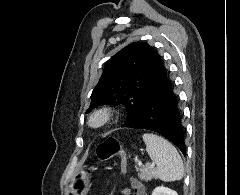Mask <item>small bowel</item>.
I'll return each instance as SVG.
<instances>
[{"label":"small bowel","instance_id":"small-bowel-1","mask_svg":"<svg viewBox=\"0 0 240 195\" xmlns=\"http://www.w3.org/2000/svg\"><path fill=\"white\" fill-rule=\"evenodd\" d=\"M130 186L131 188H123L121 189L122 195H146L145 186L138 178H131L130 179Z\"/></svg>","mask_w":240,"mask_h":195}]
</instances>
